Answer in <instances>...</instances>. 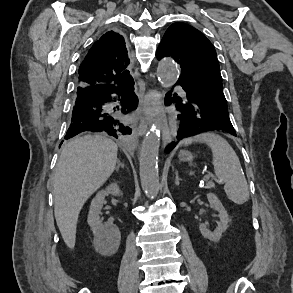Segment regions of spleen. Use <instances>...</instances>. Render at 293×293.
<instances>
[{
  "label": "spleen",
  "mask_w": 293,
  "mask_h": 293,
  "mask_svg": "<svg viewBox=\"0 0 293 293\" xmlns=\"http://www.w3.org/2000/svg\"><path fill=\"white\" fill-rule=\"evenodd\" d=\"M193 142L207 144L212 151L215 175L225 183L227 197L236 204H243L249 199V188L239 158L230 144L220 135L213 132L201 133L185 138L181 143L190 145Z\"/></svg>",
  "instance_id": "3e777b00"
}]
</instances>
